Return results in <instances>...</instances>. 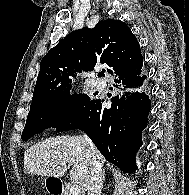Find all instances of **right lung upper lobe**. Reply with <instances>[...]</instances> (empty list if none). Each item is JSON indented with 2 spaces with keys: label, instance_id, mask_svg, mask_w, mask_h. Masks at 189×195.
<instances>
[{
  "label": "right lung upper lobe",
  "instance_id": "1",
  "mask_svg": "<svg viewBox=\"0 0 189 195\" xmlns=\"http://www.w3.org/2000/svg\"><path fill=\"white\" fill-rule=\"evenodd\" d=\"M100 63L111 75L136 71L143 65L139 43L122 21H99L92 29L75 30L51 48L40 63L32 103L71 88L79 72Z\"/></svg>",
  "mask_w": 189,
  "mask_h": 195
}]
</instances>
